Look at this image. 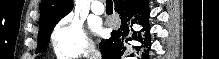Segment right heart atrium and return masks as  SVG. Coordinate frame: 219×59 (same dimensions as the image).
<instances>
[{"instance_id":"d8ad5b80","label":"right heart atrium","mask_w":219,"mask_h":59,"mask_svg":"<svg viewBox=\"0 0 219 59\" xmlns=\"http://www.w3.org/2000/svg\"><path fill=\"white\" fill-rule=\"evenodd\" d=\"M50 43L60 59H76L90 55L93 43L82 23L72 15L63 17L53 28Z\"/></svg>"}]
</instances>
